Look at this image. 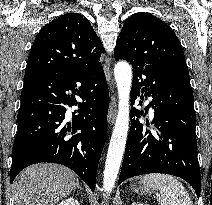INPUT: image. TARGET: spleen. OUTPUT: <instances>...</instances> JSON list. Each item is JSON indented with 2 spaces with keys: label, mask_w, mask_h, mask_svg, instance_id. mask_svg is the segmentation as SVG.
<instances>
[{
  "label": "spleen",
  "mask_w": 212,
  "mask_h": 205,
  "mask_svg": "<svg viewBox=\"0 0 212 205\" xmlns=\"http://www.w3.org/2000/svg\"><path fill=\"white\" fill-rule=\"evenodd\" d=\"M141 183L145 188L160 192L157 201L160 205H193L186 188L174 176L168 174H147Z\"/></svg>",
  "instance_id": "3e777b00"
}]
</instances>
